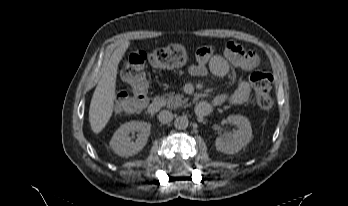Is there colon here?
Returning a JSON list of instances; mask_svg holds the SVG:
<instances>
[{
	"label": "colon",
	"instance_id": "colon-1",
	"mask_svg": "<svg viewBox=\"0 0 348 206\" xmlns=\"http://www.w3.org/2000/svg\"><path fill=\"white\" fill-rule=\"evenodd\" d=\"M196 56H200L199 51H197ZM185 61V50L177 45H168L151 52L136 50L130 53L122 70V77L127 83L128 89L117 94L115 100L117 111L125 114H135L145 106L147 101V79L144 68L147 62L155 68L174 69L182 66ZM249 81L254 90L257 105L262 110H269L273 104L271 96L274 83L273 76L263 71H253L250 74Z\"/></svg>",
	"mask_w": 348,
	"mask_h": 206
}]
</instances>
